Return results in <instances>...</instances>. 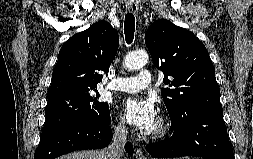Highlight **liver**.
Returning a JSON list of instances; mask_svg holds the SVG:
<instances>
[{
    "label": "liver",
    "mask_w": 253,
    "mask_h": 159,
    "mask_svg": "<svg viewBox=\"0 0 253 159\" xmlns=\"http://www.w3.org/2000/svg\"><path fill=\"white\" fill-rule=\"evenodd\" d=\"M57 159H106V149L76 151Z\"/></svg>",
    "instance_id": "6515ba94"
}]
</instances>
